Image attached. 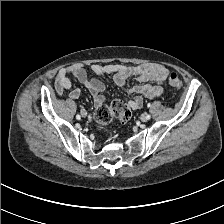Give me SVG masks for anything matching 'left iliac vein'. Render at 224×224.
Returning a JSON list of instances; mask_svg holds the SVG:
<instances>
[{"mask_svg": "<svg viewBox=\"0 0 224 224\" xmlns=\"http://www.w3.org/2000/svg\"><path fill=\"white\" fill-rule=\"evenodd\" d=\"M140 119H141L142 122L148 121L147 114H142Z\"/></svg>", "mask_w": 224, "mask_h": 224, "instance_id": "4c4485c4", "label": "left iliac vein"}]
</instances>
